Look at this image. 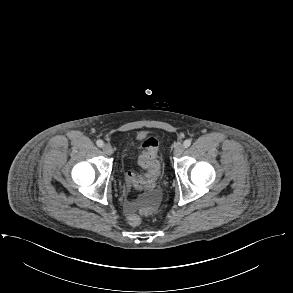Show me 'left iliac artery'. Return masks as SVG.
<instances>
[{
	"label": "left iliac artery",
	"mask_w": 293,
	"mask_h": 293,
	"mask_svg": "<svg viewBox=\"0 0 293 293\" xmlns=\"http://www.w3.org/2000/svg\"><path fill=\"white\" fill-rule=\"evenodd\" d=\"M183 145L185 148L189 147L191 145V140H189V139L185 140Z\"/></svg>",
	"instance_id": "44dca946"
}]
</instances>
